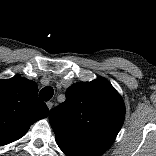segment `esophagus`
<instances>
[{"instance_id":"1","label":"esophagus","mask_w":156,"mask_h":156,"mask_svg":"<svg viewBox=\"0 0 156 156\" xmlns=\"http://www.w3.org/2000/svg\"><path fill=\"white\" fill-rule=\"evenodd\" d=\"M46 105H47V107H48L49 109H51L52 106H53V103L49 101V102L46 103Z\"/></svg>"}]
</instances>
